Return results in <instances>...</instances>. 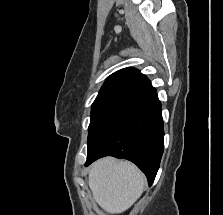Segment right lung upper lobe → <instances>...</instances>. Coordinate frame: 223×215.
<instances>
[{
	"instance_id": "1",
	"label": "right lung upper lobe",
	"mask_w": 223,
	"mask_h": 215,
	"mask_svg": "<svg viewBox=\"0 0 223 215\" xmlns=\"http://www.w3.org/2000/svg\"><path fill=\"white\" fill-rule=\"evenodd\" d=\"M120 91L145 97L156 93L150 81L135 68H124L110 75L100 89L98 96Z\"/></svg>"
}]
</instances>
